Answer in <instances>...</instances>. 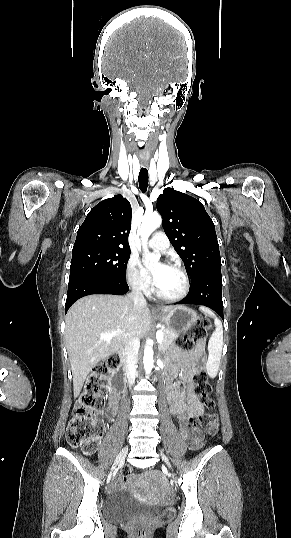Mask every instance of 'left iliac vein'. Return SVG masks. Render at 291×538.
Instances as JSON below:
<instances>
[{"mask_svg": "<svg viewBox=\"0 0 291 538\" xmlns=\"http://www.w3.org/2000/svg\"><path fill=\"white\" fill-rule=\"evenodd\" d=\"M161 456H162V458L165 460V462L167 463V465L170 466L169 461H168V459L166 458V456L163 454V452H161Z\"/></svg>", "mask_w": 291, "mask_h": 538, "instance_id": "left-iliac-vein-1", "label": "left iliac vein"}]
</instances>
